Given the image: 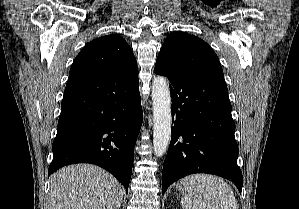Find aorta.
Instances as JSON below:
<instances>
[{"mask_svg":"<svg viewBox=\"0 0 299 209\" xmlns=\"http://www.w3.org/2000/svg\"><path fill=\"white\" fill-rule=\"evenodd\" d=\"M153 101V149L157 157L165 154L171 139V96L169 84L162 76L154 78L152 83Z\"/></svg>","mask_w":299,"mask_h":209,"instance_id":"aorta-1","label":"aorta"}]
</instances>
